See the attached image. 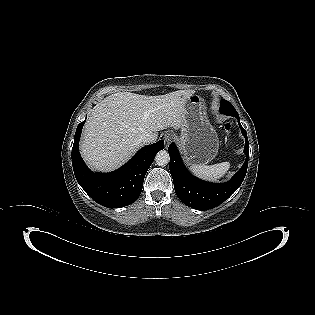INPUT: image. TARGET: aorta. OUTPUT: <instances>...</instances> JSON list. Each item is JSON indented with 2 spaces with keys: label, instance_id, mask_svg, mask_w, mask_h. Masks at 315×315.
I'll use <instances>...</instances> for the list:
<instances>
[{
  "label": "aorta",
  "instance_id": "aorta-1",
  "mask_svg": "<svg viewBox=\"0 0 315 315\" xmlns=\"http://www.w3.org/2000/svg\"><path fill=\"white\" fill-rule=\"evenodd\" d=\"M170 157L167 151L161 150L155 156V161L158 166H165L169 163Z\"/></svg>",
  "mask_w": 315,
  "mask_h": 315
}]
</instances>
